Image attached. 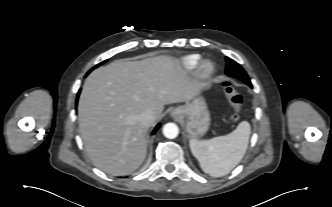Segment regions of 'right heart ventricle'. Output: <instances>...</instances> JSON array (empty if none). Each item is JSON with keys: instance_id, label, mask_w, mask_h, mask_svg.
Listing matches in <instances>:
<instances>
[{"instance_id": "e07e8e85", "label": "right heart ventricle", "mask_w": 332, "mask_h": 207, "mask_svg": "<svg viewBox=\"0 0 332 207\" xmlns=\"http://www.w3.org/2000/svg\"><path fill=\"white\" fill-rule=\"evenodd\" d=\"M200 58L201 57L198 54L187 55L181 59V64L185 69L191 70L198 65Z\"/></svg>"}]
</instances>
